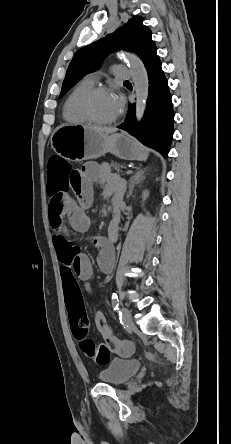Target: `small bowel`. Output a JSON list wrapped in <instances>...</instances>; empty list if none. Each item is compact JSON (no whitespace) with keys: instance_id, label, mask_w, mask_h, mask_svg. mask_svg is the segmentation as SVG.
<instances>
[{"instance_id":"small-bowel-1","label":"small bowel","mask_w":231,"mask_h":444,"mask_svg":"<svg viewBox=\"0 0 231 444\" xmlns=\"http://www.w3.org/2000/svg\"><path fill=\"white\" fill-rule=\"evenodd\" d=\"M93 184H96L103 196L115 194L113 203L117 207L120 203V182L110 174L105 166L94 163L85 164L78 176L72 181L68 190H72L77 198L75 201L68 190L62 193L61 203L54 209L49 207V219L53 231V243L61 263L60 274L65 296L81 295L78 279L88 281L92 276V266L89 258L81 251L71 238L67 223L77 232H86L91 224L86 206L93 195ZM119 224L110 223L107 236L93 239L99 250L97 262L100 269L110 273L114 266V242L117 239ZM94 322L101 336L106 340L116 339L115 334L100 311L94 312Z\"/></svg>"}]
</instances>
